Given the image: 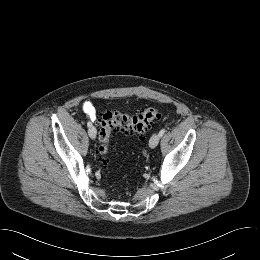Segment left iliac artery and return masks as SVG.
<instances>
[{
	"instance_id": "44dca946",
	"label": "left iliac artery",
	"mask_w": 260,
	"mask_h": 260,
	"mask_svg": "<svg viewBox=\"0 0 260 260\" xmlns=\"http://www.w3.org/2000/svg\"><path fill=\"white\" fill-rule=\"evenodd\" d=\"M165 132H166V130H165V129H162V130L159 132V136L162 137Z\"/></svg>"
}]
</instances>
